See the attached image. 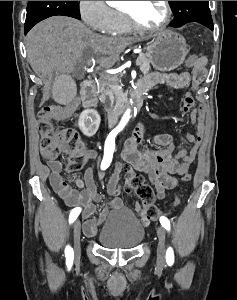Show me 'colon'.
<instances>
[{"instance_id": "1", "label": "colon", "mask_w": 237, "mask_h": 300, "mask_svg": "<svg viewBox=\"0 0 237 300\" xmlns=\"http://www.w3.org/2000/svg\"><path fill=\"white\" fill-rule=\"evenodd\" d=\"M205 58L192 55L187 61L188 67H193L201 63ZM52 109L46 106L39 111L38 131L41 135L40 149L41 154L46 160H55L65 149L73 151L75 154L70 156L66 165L68 172L79 171L87 162L88 157L85 154L84 144L79 134L71 129H57L51 123ZM182 181H190L191 174L185 173L181 177ZM127 181L129 188L134 191L136 196L142 201L143 210L147 218L156 219L160 211L155 205V195L153 189L147 184L144 178L139 175L127 172Z\"/></svg>"}]
</instances>
